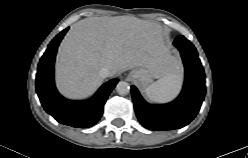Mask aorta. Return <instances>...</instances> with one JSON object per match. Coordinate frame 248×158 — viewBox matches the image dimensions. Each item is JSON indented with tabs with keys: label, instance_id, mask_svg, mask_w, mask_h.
I'll list each match as a JSON object with an SVG mask.
<instances>
[{
	"label": "aorta",
	"instance_id": "aorta-1",
	"mask_svg": "<svg viewBox=\"0 0 248 158\" xmlns=\"http://www.w3.org/2000/svg\"><path fill=\"white\" fill-rule=\"evenodd\" d=\"M116 91L120 95H126V94H128L130 92V86H129V84L127 82L120 81L116 85Z\"/></svg>",
	"mask_w": 248,
	"mask_h": 158
}]
</instances>
